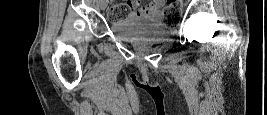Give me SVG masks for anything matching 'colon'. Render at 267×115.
I'll list each match as a JSON object with an SVG mask.
<instances>
[{
  "mask_svg": "<svg viewBox=\"0 0 267 115\" xmlns=\"http://www.w3.org/2000/svg\"><path fill=\"white\" fill-rule=\"evenodd\" d=\"M182 1L171 0L165 3L164 17L166 21H176L181 16ZM132 12V5L126 3L115 4L108 11L110 21H120Z\"/></svg>",
  "mask_w": 267,
  "mask_h": 115,
  "instance_id": "obj_1",
  "label": "colon"
}]
</instances>
